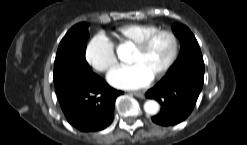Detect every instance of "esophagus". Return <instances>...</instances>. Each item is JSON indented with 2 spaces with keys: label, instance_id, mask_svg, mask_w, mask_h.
Returning <instances> with one entry per match:
<instances>
[{
  "label": "esophagus",
  "instance_id": "1",
  "mask_svg": "<svg viewBox=\"0 0 247 145\" xmlns=\"http://www.w3.org/2000/svg\"><path fill=\"white\" fill-rule=\"evenodd\" d=\"M130 93H131L132 95L138 97V98H141V99L145 98V95H144L143 92H140V91H133V92H130Z\"/></svg>",
  "mask_w": 247,
  "mask_h": 145
}]
</instances>
